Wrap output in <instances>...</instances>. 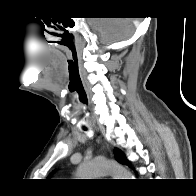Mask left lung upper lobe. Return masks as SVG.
Segmentation results:
<instances>
[{"instance_id":"obj_1","label":"left lung upper lobe","mask_w":196,"mask_h":196,"mask_svg":"<svg viewBox=\"0 0 196 196\" xmlns=\"http://www.w3.org/2000/svg\"><path fill=\"white\" fill-rule=\"evenodd\" d=\"M115 156L116 159L122 163V164H128V161L126 159V157L124 156V154L122 153V151H120L119 149H115Z\"/></svg>"}]
</instances>
